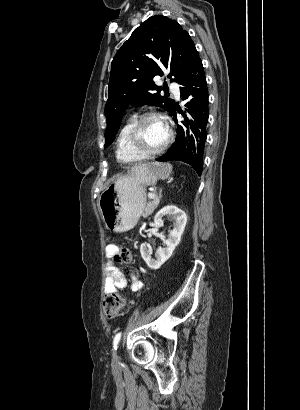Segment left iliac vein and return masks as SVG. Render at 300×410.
Wrapping results in <instances>:
<instances>
[{
	"instance_id": "obj_1",
	"label": "left iliac vein",
	"mask_w": 300,
	"mask_h": 410,
	"mask_svg": "<svg viewBox=\"0 0 300 410\" xmlns=\"http://www.w3.org/2000/svg\"><path fill=\"white\" fill-rule=\"evenodd\" d=\"M119 362V356L115 354L114 356V364H117Z\"/></svg>"
}]
</instances>
